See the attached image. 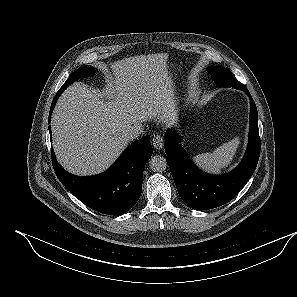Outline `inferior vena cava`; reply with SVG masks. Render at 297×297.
<instances>
[{"instance_id": "obj_1", "label": "inferior vena cava", "mask_w": 297, "mask_h": 297, "mask_svg": "<svg viewBox=\"0 0 297 297\" xmlns=\"http://www.w3.org/2000/svg\"><path fill=\"white\" fill-rule=\"evenodd\" d=\"M124 137L128 140L136 139L139 135L143 133V127L141 123H135L133 125L128 126L124 130Z\"/></svg>"}]
</instances>
